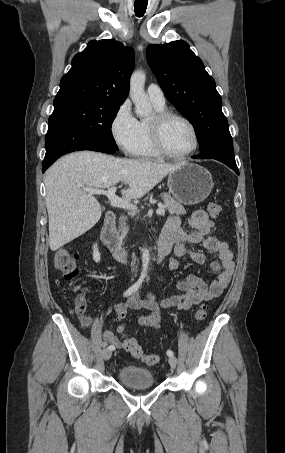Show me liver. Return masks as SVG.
<instances>
[{
    "label": "liver",
    "mask_w": 285,
    "mask_h": 453,
    "mask_svg": "<svg viewBox=\"0 0 285 453\" xmlns=\"http://www.w3.org/2000/svg\"><path fill=\"white\" fill-rule=\"evenodd\" d=\"M180 164L117 158L93 151L68 154L45 174L49 245L52 251L90 230L101 218L97 199L85 189H105L120 181L126 200L143 197Z\"/></svg>",
    "instance_id": "obj_1"
}]
</instances>
